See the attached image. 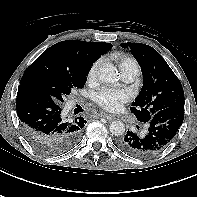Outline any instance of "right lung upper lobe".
<instances>
[{
    "mask_svg": "<svg viewBox=\"0 0 197 197\" xmlns=\"http://www.w3.org/2000/svg\"><path fill=\"white\" fill-rule=\"evenodd\" d=\"M111 48L112 44L105 42L67 40L49 47L34 62H44L79 74L89 71L93 62ZM20 84L24 83L20 81Z\"/></svg>",
    "mask_w": 197,
    "mask_h": 197,
    "instance_id": "obj_1",
    "label": "right lung upper lobe"
}]
</instances>
